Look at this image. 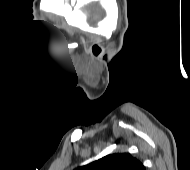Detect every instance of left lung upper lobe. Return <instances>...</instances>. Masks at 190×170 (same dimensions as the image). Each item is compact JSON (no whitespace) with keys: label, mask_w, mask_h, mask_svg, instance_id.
I'll return each mask as SVG.
<instances>
[{"label":"left lung upper lobe","mask_w":190,"mask_h":170,"mask_svg":"<svg viewBox=\"0 0 190 170\" xmlns=\"http://www.w3.org/2000/svg\"><path fill=\"white\" fill-rule=\"evenodd\" d=\"M76 170H145L143 164L127 152L109 154Z\"/></svg>","instance_id":"obj_1"}]
</instances>
